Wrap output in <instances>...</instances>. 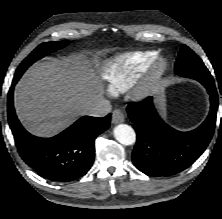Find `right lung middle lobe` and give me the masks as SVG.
Instances as JSON below:
<instances>
[{
    "label": "right lung middle lobe",
    "instance_id": "right-lung-middle-lobe-1",
    "mask_svg": "<svg viewBox=\"0 0 222 219\" xmlns=\"http://www.w3.org/2000/svg\"><path fill=\"white\" fill-rule=\"evenodd\" d=\"M67 41L46 42L40 44L18 67L14 78L19 79L25 70L33 64L36 60L44 57L45 55L54 52L60 48L65 47Z\"/></svg>",
    "mask_w": 222,
    "mask_h": 219
}]
</instances>
